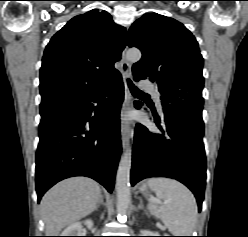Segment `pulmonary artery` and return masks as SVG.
<instances>
[{
    "label": "pulmonary artery",
    "instance_id": "1",
    "mask_svg": "<svg viewBox=\"0 0 248 237\" xmlns=\"http://www.w3.org/2000/svg\"><path fill=\"white\" fill-rule=\"evenodd\" d=\"M140 86L143 89H147V90H150V91H155L153 85L148 80L141 81ZM157 106H158L159 109L161 108V104H160L159 101H157Z\"/></svg>",
    "mask_w": 248,
    "mask_h": 237
}]
</instances>
